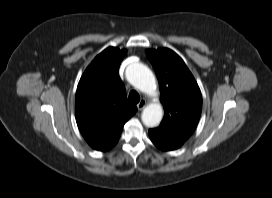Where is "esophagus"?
<instances>
[{
	"mask_svg": "<svg viewBox=\"0 0 272 198\" xmlns=\"http://www.w3.org/2000/svg\"><path fill=\"white\" fill-rule=\"evenodd\" d=\"M147 102L145 99H141L140 102L137 104L138 110H142L146 106Z\"/></svg>",
	"mask_w": 272,
	"mask_h": 198,
	"instance_id": "obj_1",
	"label": "esophagus"
}]
</instances>
